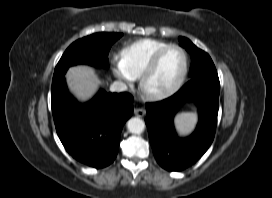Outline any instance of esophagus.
<instances>
[{"instance_id":"esophagus-1","label":"esophagus","mask_w":272,"mask_h":198,"mask_svg":"<svg viewBox=\"0 0 272 198\" xmlns=\"http://www.w3.org/2000/svg\"><path fill=\"white\" fill-rule=\"evenodd\" d=\"M134 114L136 116L142 117L146 114V110L143 107L134 108Z\"/></svg>"}]
</instances>
